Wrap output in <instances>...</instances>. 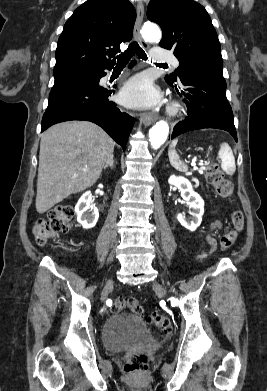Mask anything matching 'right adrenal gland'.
Masks as SVG:
<instances>
[{
  "instance_id": "right-adrenal-gland-1",
  "label": "right adrenal gland",
  "mask_w": 267,
  "mask_h": 391,
  "mask_svg": "<svg viewBox=\"0 0 267 391\" xmlns=\"http://www.w3.org/2000/svg\"><path fill=\"white\" fill-rule=\"evenodd\" d=\"M108 166H109L110 168H113V166H114L113 157L105 164V166L103 167L104 170H105Z\"/></svg>"
}]
</instances>
